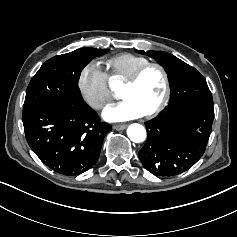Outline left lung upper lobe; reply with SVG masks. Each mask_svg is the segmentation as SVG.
I'll list each match as a JSON object with an SVG mask.
<instances>
[{
  "mask_svg": "<svg viewBox=\"0 0 237 237\" xmlns=\"http://www.w3.org/2000/svg\"><path fill=\"white\" fill-rule=\"evenodd\" d=\"M154 58L167 71L171 81V100L156 119L145 123L148 139L139 151L144 167L156 176H174L190 167L182 160H199L208 143L212 127L200 120H172L165 114L175 108L211 105L213 98L205 78L192 66L164 51H141Z\"/></svg>",
  "mask_w": 237,
  "mask_h": 237,
  "instance_id": "1",
  "label": "left lung upper lobe"
}]
</instances>
